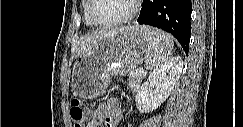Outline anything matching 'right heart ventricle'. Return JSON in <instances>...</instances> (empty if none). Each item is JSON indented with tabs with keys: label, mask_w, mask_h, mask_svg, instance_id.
Listing matches in <instances>:
<instances>
[{
	"label": "right heart ventricle",
	"mask_w": 243,
	"mask_h": 127,
	"mask_svg": "<svg viewBox=\"0 0 243 127\" xmlns=\"http://www.w3.org/2000/svg\"><path fill=\"white\" fill-rule=\"evenodd\" d=\"M88 5H89V0L83 1V15H84V22L87 27H92V23L89 21L88 16H87V10H88Z\"/></svg>",
	"instance_id": "obj_1"
}]
</instances>
